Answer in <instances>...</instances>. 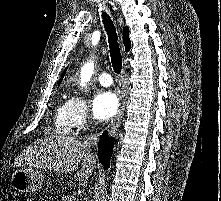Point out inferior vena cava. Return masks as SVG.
<instances>
[{
    "label": "inferior vena cava",
    "mask_w": 221,
    "mask_h": 201,
    "mask_svg": "<svg viewBox=\"0 0 221 201\" xmlns=\"http://www.w3.org/2000/svg\"><path fill=\"white\" fill-rule=\"evenodd\" d=\"M98 142V135L94 134V135H90L86 141L85 144L88 146H96Z\"/></svg>",
    "instance_id": "obj_1"
}]
</instances>
